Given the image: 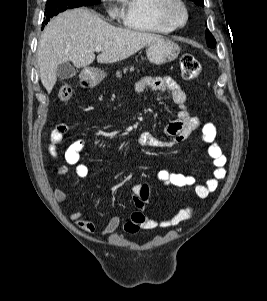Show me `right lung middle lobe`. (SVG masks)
<instances>
[{"label": "right lung middle lobe", "instance_id": "1", "mask_svg": "<svg viewBox=\"0 0 267 301\" xmlns=\"http://www.w3.org/2000/svg\"><path fill=\"white\" fill-rule=\"evenodd\" d=\"M100 0H47L45 8V18L43 26L50 21V19L60 12L67 9L77 8L82 6H92L94 4H99Z\"/></svg>", "mask_w": 267, "mask_h": 301}]
</instances>
